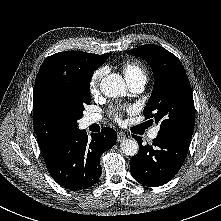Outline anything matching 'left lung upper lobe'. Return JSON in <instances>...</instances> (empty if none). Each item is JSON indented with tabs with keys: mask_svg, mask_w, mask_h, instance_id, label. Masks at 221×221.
Wrapping results in <instances>:
<instances>
[{
	"mask_svg": "<svg viewBox=\"0 0 221 221\" xmlns=\"http://www.w3.org/2000/svg\"><path fill=\"white\" fill-rule=\"evenodd\" d=\"M127 53L145 59L154 73L153 91L143 111L145 117L160 125L158 135L190 144L195 109L191 85L180 60L154 44Z\"/></svg>",
	"mask_w": 221,
	"mask_h": 221,
	"instance_id": "5c2ea615",
	"label": "left lung upper lobe"
}]
</instances>
